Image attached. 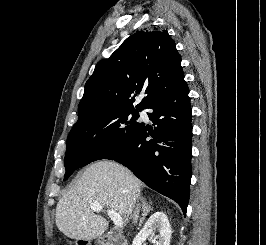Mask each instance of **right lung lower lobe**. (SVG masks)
<instances>
[{"label":"right lung lower lobe","mask_w":266,"mask_h":245,"mask_svg":"<svg viewBox=\"0 0 266 245\" xmlns=\"http://www.w3.org/2000/svg\"><path fill=\"white\" fill-rule=\"evenodd\" d=\"M189 89L183 80L146 108L154 131L141 123L130 142L104 159L129 168L147 186L177 202L184 215L192 176V124ZM150 136L153 139H147Z\"/></svg>","instance_id":"obj_1"}]
</instances>
